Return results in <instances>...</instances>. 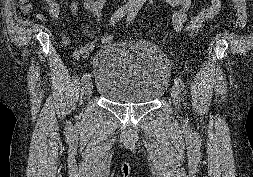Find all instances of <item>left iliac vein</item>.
I'll return each mask as SVG.
<instances>
[{"label": "left iliac vein", "instance_id": "4c4485c4", "mask_svg": "<svg viewBox=\"0 0 253 177\" xmlns=\"http://www.w3.org/2000/svg\"><path fill=\"white\" fill-rule=\"evenodd\" d=\"M171 96L174 100V102L178 105L180 103V93H179V87L177 85H173L171 88Z\"/></svg>", "mask_w": 253, "mask_h": 177}]
</instances>
